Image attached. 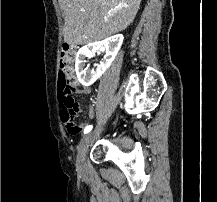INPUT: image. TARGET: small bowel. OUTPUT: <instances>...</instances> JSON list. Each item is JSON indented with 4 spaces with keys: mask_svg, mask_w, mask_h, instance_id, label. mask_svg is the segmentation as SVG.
I'll return each instance as SVG.
<instances>
[{
    "mask_svg": "<svg viewBox=\"0 0 217 202\" xmlns=\"http://www.w3.org/2000/svg\"><path fill=\"white\" fill-rule=\"evenodd\" d=\"M71 79L74 81V86H75V88H78L79 83H78V81L76 80L75 75H72V76H71ZM94 115H95L94 108H93L92 106H90V107H89V110H88V116H89L90 118H93ZM80 126H81V128H85V124H84V123H81Z\"/></svg>",
    "mask_w": 217,
    "mask_h": 202,
    "instance_id": "1",
    "label": "small bowel"
}]
</instances>
